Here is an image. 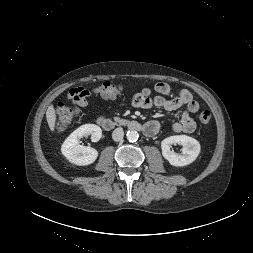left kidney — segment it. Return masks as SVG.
<instances>
[{
    "label": "left kidney",
    "mask_w": 253,
    "mask_h": 253,
    "mask_svg": "<svg viewBox=\"0 0 253 253\" xmlns=\"http://www.w3.org/2000/svg\"><path fill=\"white\" fill-rule=\"evenodd\" d=\"M172 144L183 146L182 154L174 153L170 148ZM162 155L173 166H185L196 160L200 153V143L187 135H175L165 138L161 142Z\"/></svg>",
    "instance_id": "1"
}]
</instances>
